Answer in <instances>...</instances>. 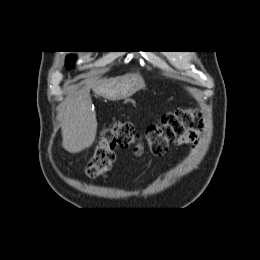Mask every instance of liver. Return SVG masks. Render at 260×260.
<instances>
[{
    "instance_id": "obj_1",
    "label": "liver",
    "mask_w": 260,
    "mask_h": 260,
    "mask_svg": "<svg viewBox=\"0 0 260 260\" xmlns=\"http://www.w3.org/2000/svg\"><path fill=\"white\" fill-rule=\"evenodd\" d=\"M118 78H103L93 84V91L109 100L111 87ZM96 114L88 93L68 95L63 103L62 145L70 153H79L90 147L96 137Z\"/></svg>"
}]
</instances>
